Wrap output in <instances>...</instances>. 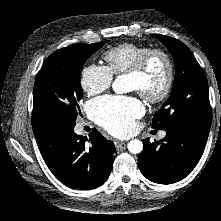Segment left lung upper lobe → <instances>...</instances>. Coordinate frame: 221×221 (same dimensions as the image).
Here are the masks:
<instances>
[{"label":"left lung upper lobe","instance_id":"1","mask_svg":"<svg viewBox=\"0 0 221 221\" xmlns=\"http://www.w3.org/2000/svg\"><path fill=\"white\" fill-rule=\"evenodd\" d=\"M170 51L175 62V80L170 97L153 119L152 127L165 130L171 126L192 123L211 125V106L205 74L190 49L181 41L152 34Z\"/></svg>","mask_w":221,"mask_h":221}]
</instances>
